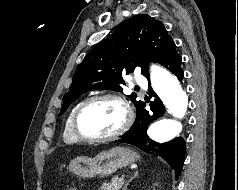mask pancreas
<instances>
[{
    "instance_id": "cf45deb5",
    "label": "pancreas",
    "mask_w": 238,
    "mask_h": 190,
    "mask_svg": "<svg viewBox=\"0 0 238 190\" xmlns=\"http://www.w3.org/2000/svg\"><path fill=\"white\" fill-rule=\"evenodd\" d=\"M123 185V181L120 178H114L109 184H104L99 190H120Z\"/></svg>"
}]
</instances>
